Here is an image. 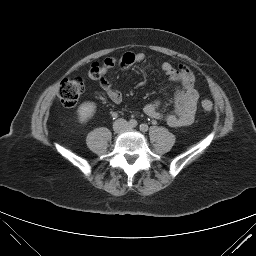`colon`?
I'll return each mask as SVG.
<instances>
[{
  "label": "colon",
  "instance_id": "obj_1",
  "mask_svg": "<svg viewBox=\"0 0 256 256\" xmlns=\"http://www.w3.org/2000/svg\"><path fill=\"white\" fill-rule=\"evenodd\" d=\"M88 75L94 80L101 79L103 76V65L93 63L88 71ZM83 91L84 83L81 78H68L61 82L58 90V96L64 106L72 107L77 104ZM201 106L205 112H211L213 109V104L210 100H203Z\"/></svg>",
  "mask_w": 256,
  "mask_h": 256
}]
</instances>
